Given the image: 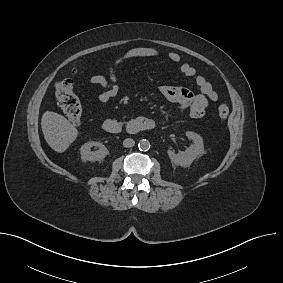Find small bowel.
Instances as JSON below:
<instances>
[{"mask_svg":"<svg viewBox=\"0 0 283 283\" xmlns=\"http://www.w3.org/2000/svg\"><path fill=\"white\" fill-rule=\"evenodd\" d=\"M161 52L153 47H135L127 50L121 56L116 58L104 71L103 74H98L88 79V84L99 86L102 91L97 95V100L105 103L119 93L120 87L118 84V69L119 67L130 60L140 58H158ZM167 59L179 66L180 72L188 78H193L197 88V93L191 90L171 85H161L158 87V92L166 100L178 104L182 112H187L192 118H201L204 116L209 101L216 102L218 94L212 87L211 83L206 78L197 73L195 68L184 61L176 52H169L166 55Z\"/></svg>","mask_w":283,"mask_h":283,"instance_id":"c3829d8e","label":"small bowel"}]
</instances>
